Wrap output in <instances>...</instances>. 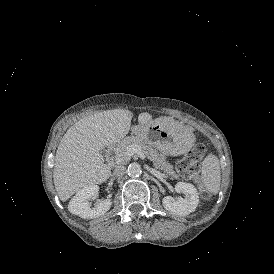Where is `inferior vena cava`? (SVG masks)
I'll use <instances>...</instances> for the list:
<instances>
[{"instance_id": "obj_1", "label": "inferior vena cava", "mask_w": 274, "mask_h": 274, "mask_svg": "<svg viewBox=\"0 0 274 274\" xmlns=\"http://www.w3.org/2000/svg\"><path fill=\"white\" fill-rule=\"evenodd\" d=\"M126 173H127V169L125 166H119L114 170L115 177H123V175Z\"/></svg>"}]
</instances>
